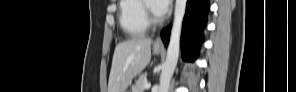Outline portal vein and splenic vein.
<instances>
[{
    "label": "portal vein and splenic vein",
    "instance_id": "18ae733b",
    "mask_svg": "<svg viewBox=\"0 0 296 92\" xmlns=\"http://www.w3.org/2000/svg\"><path fill=\"white\" fill-rule=\"evenodd\" d=\"M150 87H151V84H150V83H145V84H144V88H145V89H148V88H150Z\"/></svg>",
    "mask_w": 296,
    "mask_h": 92
}]
</instances>
